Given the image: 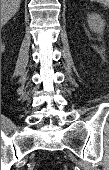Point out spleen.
Masks as SVG:
<instances>
[{
    "label": "spleen",
    "instance_id": "spleen-1",
    "mask_svg": "<svg viewBox=\"0 0 109 170\" xmlns=\"http://www.w3.org/2000/svg\"><path fill=\"white\" fill-rule=\"evenodd\" d=\"M90 1H96V2L102 3L104 5H108L109 4V0H90Z\"/></svg>",
    "mask_w": 109,
    "mask_h": 170
}]
</instances>
